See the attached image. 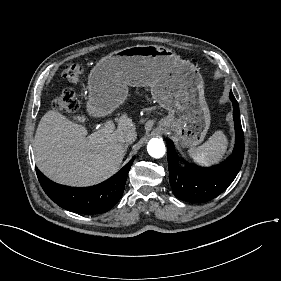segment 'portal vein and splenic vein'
I'll return each mask as SVG.
<instances>
[{
	"mask_svg": "<svg viewBox=\"0 0 281 281\" xmlns=\"http://www.w3.org/2000/svg\"><path fill=\"white\" fill-rule=\"evenodd\" d=\"M115 129V124L113 123V121L109 120L106 121L104 126H101L98 128L97 133L99 136L104 137L109 133H112Z\"/></svg>",
	"mask_w": 281,
	"mask_h": 281,
	"instance_id": "obj_1",
	"label": "portal vein and splenic vein"
}]
</instances>
